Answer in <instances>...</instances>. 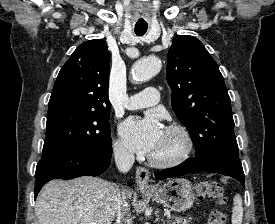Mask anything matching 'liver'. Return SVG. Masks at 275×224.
Listing matches in <instances>:
<instances>
[{"mask_svg":"<svg viewBox=\"0 0 275 224\" xmlns=\"http://www.w3.org/2000/svg\"><path fill=\"white\" fill-rule=\"evenodd\" d=\"M118 187L95 177L52 180L37 196L38 224H111ZM126 196L132 194L126 190Z\"/></svg>","mask_w":275,"mask_h":224,"instance_id":"1","label":"liver"}]
</instances>
